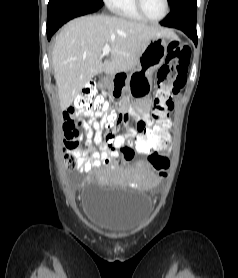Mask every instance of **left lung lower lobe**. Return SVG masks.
<instances>
[{"label": "left lung lower lobe", "instance_id": "obj_1", "mask_svg": "<svg viewBox=\"0 0 238 278\" xmlns=\"http://www.w3.org/2000/svg\"><path fill=\"white\" fill-rule=\"evenodd\" d=\"M196 15V0H179L172 6L171 13L161 22V25L182 30L197 45Z\"/></svg>", "mask_w": 238, "mask_h": 278}]
</instances>
